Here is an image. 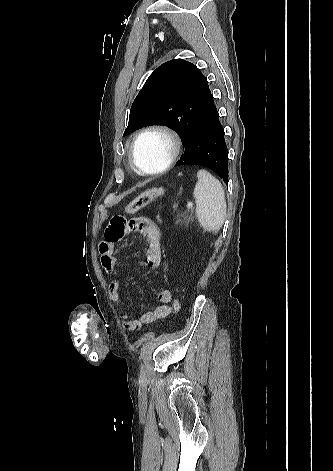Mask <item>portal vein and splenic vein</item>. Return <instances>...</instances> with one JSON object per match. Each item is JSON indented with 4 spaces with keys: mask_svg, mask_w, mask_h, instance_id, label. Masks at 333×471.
Masks as SVG:
<instances>
[{
    "mask_svg": "<svg viewBox=\"0 0 333 471\" xmlns=\"http://www.w3.org/2000/svg\"><path fill=\"white\" fill-rule=\"evenodd\" d=\"M187 207L190 208V209L193 208V203H192V202H188V203H187Z\"/></svg>",
    "mask_w": 333,
    "mask_h": 471,
    "instance_id": "1",
    "label": "portal vein and splenic vein"
}]
</instances>
